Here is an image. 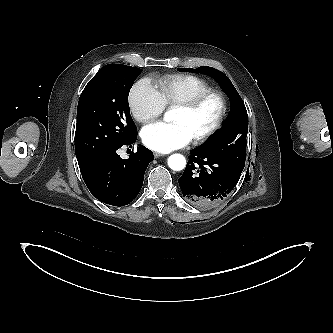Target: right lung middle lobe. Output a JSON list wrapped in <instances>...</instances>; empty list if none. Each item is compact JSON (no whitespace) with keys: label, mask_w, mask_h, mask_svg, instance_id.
<instances>
[{"label":"right lung middle lobe","mask_w":333,"mask_h":333,"mask_svg":"<svg viewBox=\"0 0 333 333\" xmlns=\"http://www.w3.org/2000/svg\"><path fill=\"white\" fill-rule=\"evenodd\" d=\"M141 72L131 66L108 64L86 85L77 108L75 152L79 165L124 145L136 135L128 95Z\"/></svg>","instance_id":"1"}]
</instances>
